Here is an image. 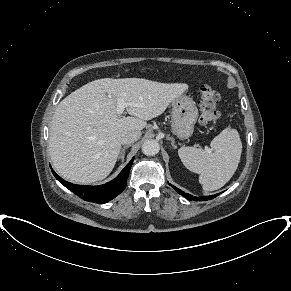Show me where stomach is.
<instances>
[{
	"mask_svg": "<svg viewBox=\"0 0 291 291\" xmlns=\"http://www.w3.org/2000/svg\"><path fill=\"white\" fill-rule=\"evenodd\" d=\"M171 131L180 139H186L193 134L198 118L195 102L186 95H181L172 103Z\"/></svg>",
	"mask_w": 291,
	"mask_h": 291,
	"instance_id": "obj_1",
	"label": "stomach"
}]
</instances>
